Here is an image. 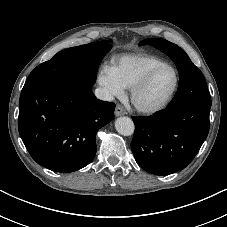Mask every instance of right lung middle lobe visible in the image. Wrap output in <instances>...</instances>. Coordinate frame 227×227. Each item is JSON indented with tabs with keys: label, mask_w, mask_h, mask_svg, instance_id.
Segmentation results:
<instances>
[{
	"label": "right lung middle lobe",
	"mask_w": 227,
	"mask_h": 227,
	"mask_svg": "<svg viewBox=\"0 0 227 227\" xmlns=\"http://www.w3.org/2000/svg\"><path fill=\"white\" fill-rule=\"evenodd\" d=\"M109 43L110 41H100L58 52L30 73L22 93L58 82L74 81L93 85L99 63L111 49Z\"/></svg>",
	"instance_id": "right-lung-middle-lobe-1"
}]
</instances>
